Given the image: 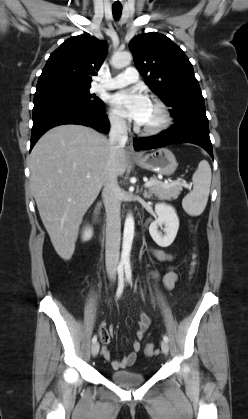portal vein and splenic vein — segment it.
<instances>
[{
	"mask_svg": "<svg viewBox=\"0 0 248 419\" xmlns=\"http://www.w3.org/2000/svg\"><path fill=\"white\" fill-rule=\"evenodd\" d=\"M87 177L89 178L90 176H87ZM155 184H157V182H156V181H152V180H150V181L145 182L144 186H145L146 188H148V187H151V186H153V185H155ZM162 184H169V183H168V181H165V182H164V183H162ZM172 184H175V183H172ZM178 184L183 185V186H184V187H186V188H191V186H190L189 184H187L186 182H179Z\"/></svg>",
	"mask_w": 248,
	"mask_h": 419,
	"instance_id": "portal-vein-and-splenic-vein-1",
	"label": "portal vein and splenic vein"
}]
</instances>
